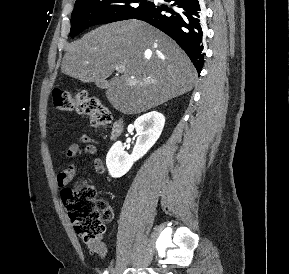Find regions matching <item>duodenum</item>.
Instances as JSON below:
<instances>
[{
  "label": "duodenum",
  "instance_id": "410a0bca",
  "mask_svg": "<svg viewBox=\"0 0 289 274\" xmlns=\"http://www.w3.org/2000/svg\"><path fill=\"white\" fill-rule=\"evenodd\" d=\"M123 130V121L121 119H117L112 126L111 130V138H117Z\"/></svg>",
  "mask_w": 289,
  "mask_h": 274
}]
</instances>
